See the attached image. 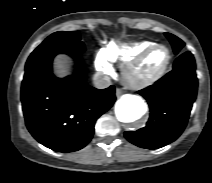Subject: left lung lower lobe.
Here are the masks:
<instances>
[{
  "mask_svg": "<svg viewBox=\"0 0 212 183\" xmlns=\"http://www.w3.org/2000/svg\"><path fill=\"white\" fill-rule=\"evenodd\" d=\"M195 70L193 55L185 52L177 58L171 72L138 91L147 100L151 113L145 127L125 132L128 141L142 148L156 149L181 135L196 99L198 80Z\"/></svg>",
  "mask_w": 212,
  "mask_h": 183,
  "instance_id": "0a47b994",
  "label": "left lung lower lobe"
}]
</instances>
